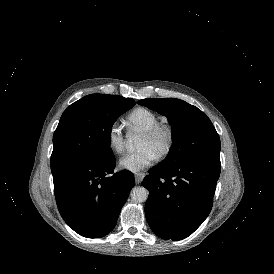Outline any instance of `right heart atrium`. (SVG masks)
Listing matches in <instances>:
<instances>
[{
  "mask_svg": "<svg viewBox=\"0 0 274 274\" xmlns=\"http://www.w3.org/2000/svg\"><path fill=\"white\" fill-rule=\"evenodd\" d=\"M108 147L114 152L122 151L124 147V138L120 126L112 123L106 134Z\"/></svg>",
  "mask_w": 274,
  "mask_h": 274,
  "instance_id": "d8ad5b80",
  "label": "right heart atrium"
}]
</instances>
